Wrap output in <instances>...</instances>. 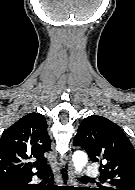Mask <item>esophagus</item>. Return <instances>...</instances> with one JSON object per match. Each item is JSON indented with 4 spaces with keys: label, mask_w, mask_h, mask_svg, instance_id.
<instances>
[{
    "label": "esophagus",
    "mask_w": 135,
    "mask_h": 190,
    "mask_svg": "<svg viewBox=\"0 0 135 190\" xmlns=\"http://www.w3.org/2000/svg\"><path fill=\"white\" fill-rule=\"evenodd\" d=\"M59 181L64 186H70L73 183L72 162L69 156L64 157L59 165Z\"/></svg>",
    "instance_id": "1"
}]
</instances>
